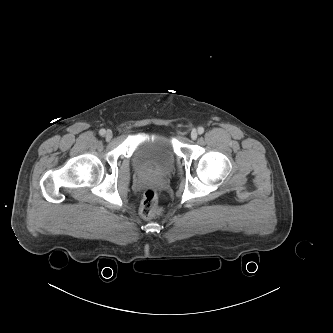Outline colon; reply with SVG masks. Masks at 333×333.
I'll return each mask as SVG.
<instances>
[{"instance_id":"obj_1","label":"colon","mask_w":333,"mask_h":333,"mask_svg":"<svg viewBox=\"0 0 333 333\" xmlns=\"http://www.w3.org/2000/svg\"><path fill=\"white\" fill-rule=\"evenodd\" d=\"M162 213V208L158 204V196L153 189L144 192L140 205V215L144 219H153Z\"/></svg>"}]
</instances>
